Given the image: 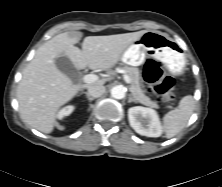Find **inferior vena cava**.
<instances>
[{
  "label": "inferior vena cava",
  "instance_id": "inferior-vena-cava-1",
  "mask_svg": "<svg viewBox=\"0 0 222 187\" xmlns=\"http://www.w3.org/2000/svg\"><path fill=\"white\" fill-rule=\"evenodd\" d=\"M104 93H105V87L100 84L91 85L88 88V94L94 98H98V97L102 96Z\"/></svg>",
  "mask_w": 222,
  "mask_h": 187
}]
</instances>
